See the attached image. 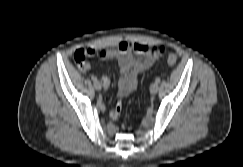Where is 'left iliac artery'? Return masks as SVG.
<instances>
[{"mask_svg":"<svg viewBox=\"0 0 243 167\" xmlns=\"http://www.w3.org/2000/svg\"><path fill=\"white\" fill-rule=\"evenodd\" d=\"M155 82H156V83H159V82H160V78L157 77V78L155 79Z\"/></svg>","mask_w":243,"mask_h":167,"instance_id":"44dca946","label":"left iliac artery"}]
</instances>
